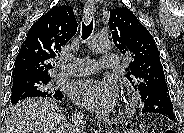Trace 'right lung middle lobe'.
I'll list each match as a JSON object with an SVG mask.
<instances>
[{
  "instance_id": "1",
  "label": "right lung middle lobe",
  "mask_w": 184,
  "mask_h": 133,
  "mask_svg": "<svg viewBox=\"0 0 184 133\" xmlns=\"http://www.w3.org/2000/svg\"><path fill=\"white\" fill-rule=\"evenodd\" d=\"M50 80V75L24 74L13 77L11 103L16 104L29 97H52L60 94V90L51 87Z\"/></svg>"
}]
</instances>
